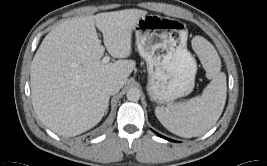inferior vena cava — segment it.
Segmentation results:
<instances>
[{"instance_id": "inferior-vena-cava-1", "label": "inferior vena cava", "mask_w": 267, "mask_h": 166, "mask_svg": "<svg viewBox=\"0 0 267 166\" xmlns=\"http://www.w3.org/2000/svg\"><path fill=\"white\" fill-rule=\"evenodd\" d=\"M121 85L115 80H109L105 84V90L109 95H115L119 92Z\"/></svg>"}]
</instances>
